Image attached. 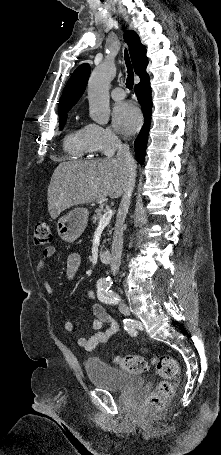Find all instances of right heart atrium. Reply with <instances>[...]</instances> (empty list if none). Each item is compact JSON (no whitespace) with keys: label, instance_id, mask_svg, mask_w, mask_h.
Wrapping results in <instances>:
<instances>
[{"label":"right heart atrium","instance_id":"d8ad5b80","mask_svg":"<svg viewBox=\"0 0 221 455\" xmlns=\"http://www.w3.org/2000/svg\"><path fill=\"white\" fill-rule=\"evenodd\" d=\"M86 129L93 152L113 154L117 150L120 139L111 128L91 123Z\"/></svg>","mask_w":221,"mask_h":455}]
</instances>
